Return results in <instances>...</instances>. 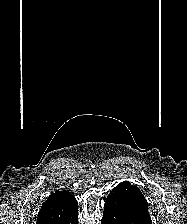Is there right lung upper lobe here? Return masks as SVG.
<instances>
[{
  "mask_svg": "<svg viewBox=\"0 0 187 224\" xmlns=\"http://www.w3.org/2000/svg\"><path fill=\"white\" fill-rule=\"evenodd\" d=\"M77 210V201L68 191L52 193L43 203L36 224H61Z\"/></svg>",
  "mask_w": 187,
  "mask_h": 224,
  "instance_id": "right-lung-upper-lobe-1",
  "label": "right lung upper lobe"
}]
</instances>
